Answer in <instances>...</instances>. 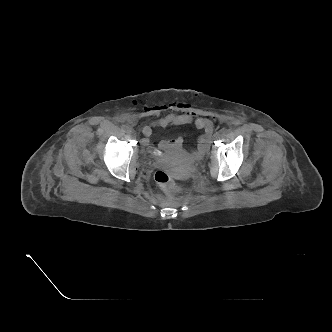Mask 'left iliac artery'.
<instances>
[{
  "mask_svg": "<svg viewBox=\"0 0 332 332\" xmlns=\"http://www.w3.org/2000/svg\"><path fill=\"white\" fill-rule=\"evenodd\" d=\"M220 133H221V135H225L226 134V130L223 128V129L220 130Z\"/></svg>",
  "mask_w": 332,
  "mask_h": 332,
  "instance_id": "left-iliac-artery-1",
  "label": "left iliac artery"
}]
</instances>
